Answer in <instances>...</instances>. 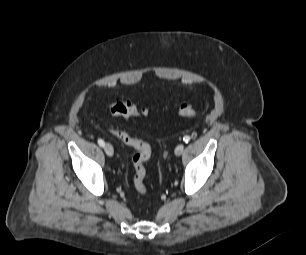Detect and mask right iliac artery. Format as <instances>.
Masks as SVG:
<instances>
[{
	"label": "right iliac artery",
	"instance_id": "1",
	"mask_svg": "<svg viewBox=\"0 0 306 255\" xmlns=\"http://www.w3.org/2000/svg\"><path fill=\"white\" fill-rule=\"evenodd\" d=\"M98 144H99L101 147H104V146H105V142H104V140H102V139H98Z\"/></svg>",
	"mask_w": 306,
	"mask_h": 255
}]
</instances>
